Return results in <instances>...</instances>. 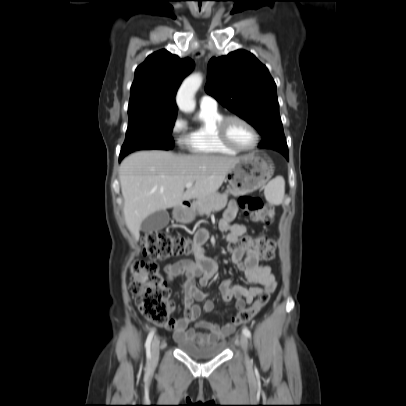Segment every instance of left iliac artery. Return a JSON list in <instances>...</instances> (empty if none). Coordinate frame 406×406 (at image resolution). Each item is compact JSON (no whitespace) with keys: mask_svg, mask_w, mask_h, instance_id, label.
I'll return each instance as SVG.
<instances>
[{"mask_svg":"<svg viewBox=\"0 0 406 406\" xmlns=\"http://www.w3.org/2000/svg\"><path fill=\"white\" fill-rule=\"evenodd\" d=\"M242 333H243L246 337L251 338V332L249 331V329L243 328Z\"/></svg>","mask_w":406,"mask_h":406,"instance_id":"1","label":"left iliac artery"}]
</instances>
